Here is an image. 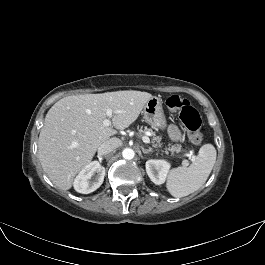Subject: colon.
I'll return each mask as SVG.
<instances>
[{
  "mask_svg": "<svg viewBox=\"0 0 265 265\" xmlns=\"http://www.w3.org/2000/svg\"><path fill=\"white\" fill-rule=\"evenodd\" d=\"M167 107L177 114L192 143L198 145L203 140L200 132L201 118L194 105L184 97L172 95L166 100Z\"/></svg>",
  "mask_w": 265,
  "mask_h": 265,
  "instance_id": "1",
  "label": "colon"
}]
</instances>
